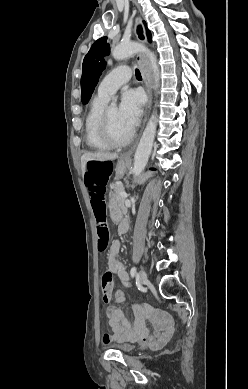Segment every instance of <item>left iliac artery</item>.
<instances>
[{
  "mask_svg": "<svg viewBox=\"0 0 248 389\" xmlns=\"http://www.w3.org/2000/svg\"><path fill=\"white\" fill-rule=\"evenodd\" d=\"M136 273H137V269H136V267H133L131 269V276L134 277Z\"/></svg>",
  "mask_w": 248,
  "mask_h": 389,
  "instance_id": "left-iliac-artery-1",
  "label": "left iliac artery"
}]
</instances>
